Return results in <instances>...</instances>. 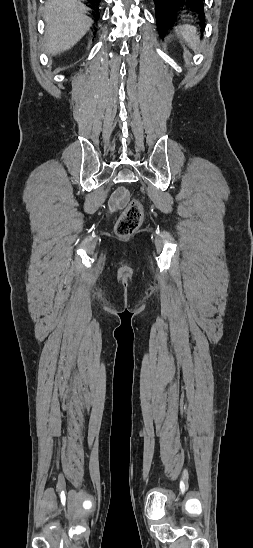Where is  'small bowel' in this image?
I'll list each match as a JSON object with an SVG mask.
<instances>
[{"label": "small bowel", "mask_w": 253, "mask_h": 548, "mask_svg": "<svg viewBox=\"0 0 253 548\" xmlns=\"http://www.w3.org/2000/svg\"><path fill=\"white\" fill-rule=\"evenodd\" d=\"M128 200V191L124 187H118L109 200V209L111 212L121 210Z\"/></svg>", "instance_id": "small-bowel-1"}]
</instances>
